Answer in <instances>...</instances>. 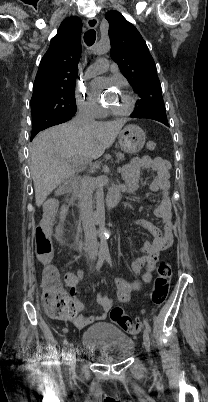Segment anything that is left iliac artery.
<instances>
[{
	"label": "left iliac artery",
	"instance_id": "left-iliac-artery-1",
	"mask_svg": "<svg viewBox=\"0 0 208 402\" xmlns=\"http://www.w3.org/2000/svg\"><path fill=\"white\" fill-rule=\"evenodd\" d=\"M105 258H106L107 262L109 263V265L112 266L113 264H112V260H111L110 255L106 254ZM144 324H145L146 330L150 333L151 332V327H150V325H149V323H148V321L146 319H144Z\"/></svg>",
	"mask_w": 208,
	"mask_h": 402
}]
</instances>
